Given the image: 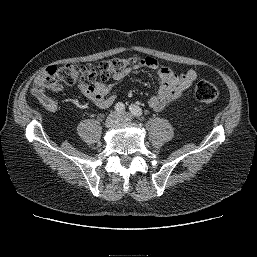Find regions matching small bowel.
Instances as JSON below:
<instances>
[{"mask_svg": "<svg viewBox=\"0 0 257 257\" xmlns=\"http://www.w3.org/2000/svg\"><path fill=\"white\" fill-rule=\"evenodd\" d=\"M137 68H147L157 72L159 89L148 101L149 106L155 111H162L179 99L197 78V73L192 69L183 74H176L170 68L161 67L152 57L141 59L140 63L128 68L123 74L114 75L113 78L119 81ZM115 87L116 84L98 82L93 85L80 86V91L85 98L94 102L99 108L105 109L115 101L113 94ZM62 89L61 85H57L54 92H60Z\"/></svg>", "mask_w": 257, "mask_h": 257, "instance_id": "obj_1", "label": "small bowel"}]
</instances>
